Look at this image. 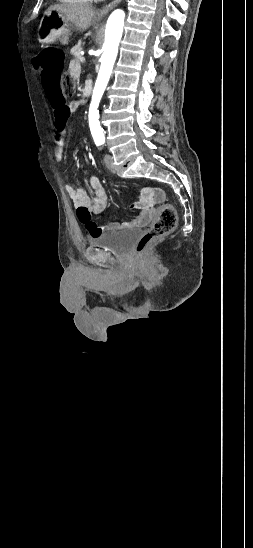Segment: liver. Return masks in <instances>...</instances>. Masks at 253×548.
Returning <instances> with one entry per match:
<instances>
[{
	"label": "liver",
	"mask_w": 253,
	"mask_h": 548,
	"mask_svg": "<svg viewBox=\"0 0 253 548\" xmlns=\"http://www.w3.org/2000/svg\"><path fill=\"white\" fill-rule=\"evenodd\" d=\"M49 10L59 13L80 31H86L95 16L94 9L84 4H57L50 6Z\"/></svg>",
	"instance_id": "obj_1"
}]
</instances>
